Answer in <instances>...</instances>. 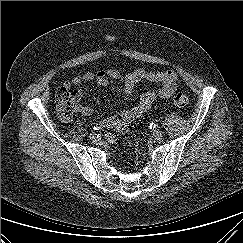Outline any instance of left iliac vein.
<instances>
[{
    "instance_id": "1",
    "label": "left iliac vein",
    "mask_w": 243,
    "mask_h": 243,
    "mask_svg": "<svg viewBox=\"0 0 243 243\" xmlns=\"http://www.w3.org/2000/svg\"><path fill=\"white\" fill-rule=\"evenodd\" d=\"M152 138L154 140H160L162 138V132L160 130H154L152 132Z\"/></svg>"
}]
</instances>
